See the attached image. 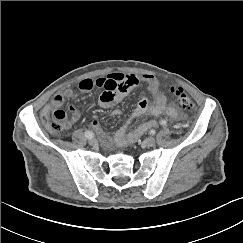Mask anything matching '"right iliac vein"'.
I'll return each mask as SVG.
<instances>
[{
  "label": "right iliac vein",
  "instance_id": "right-iliac-vein-1",
  "mask_svg": "<svg viewBox=\"0 0 243 243\" xmlns=\"http://www.w3.org/2000/svg\"><path fill=\"white\" fill-rule=\"evenodd\" d=\"M88 142L90 145H95L97 143V140L92 137V138H89Z\"/></svg>",
  "mask_w": 243,
  "mask_h": 243
}]
</instances>
